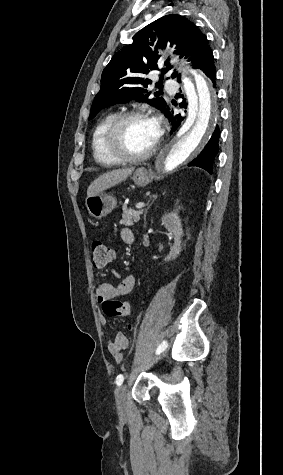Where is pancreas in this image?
<instances>
[{"instance_id":"obj_1","label":"pancreas","mask_w":283,"mask_h":475,"mask_svg":"<svg viewBox=\"0 0 283 475\" xmlns=\"http://www.w3.org/2000/svg\"><path fill=\"white\" fill-rule=\"evenodd\" d=\"M123 214L122 220H120L121 226H134V222H139L141 210H127V206H122Z\"/></svg>"}]
</instances>
